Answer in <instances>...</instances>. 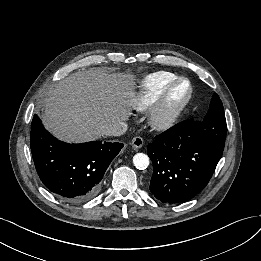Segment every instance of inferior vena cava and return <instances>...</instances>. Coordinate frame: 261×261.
<instances>
[{"label":"inferior vena cava","mask_w":261,"mask_h":261,"mask_svg":"<svg viewBox=\"0 0 261 261\" xmlns=\"http://www.w3.org/2000/svg\"><path fill=\"white\" fill-rule=\"evenodd\" d=\"M127 124L123 121H117L105 125L101 130L102 135L106 136H121L127 131Z\"/></svg>","instance_id":"obj_1"}]
</instances>
